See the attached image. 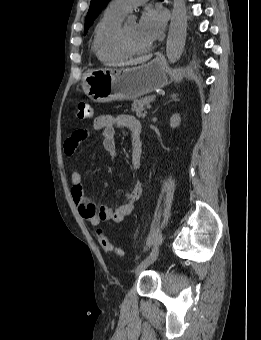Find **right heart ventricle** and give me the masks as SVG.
I'll list each match as a JSON object with an SVG mask.
<instances>
[{"instance_id":"right-heart-ventricle-1","label":"right heart ventricle","mask_w":261,"mask_h":340,"mask_svg":"<svg viewBox=\"0 0 261 340\" xmlns=\"http://www.w3.org/2000/svg\"><path fill=\"white\" fill-rule=\"evenodd\" d=\"M124 15L108 6L96 25L92 50L100 62L113 63L128 57L118 46V31Z\"/></svg>"}]
</instances>
